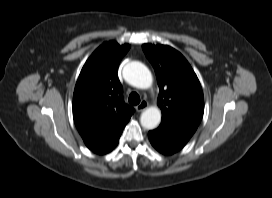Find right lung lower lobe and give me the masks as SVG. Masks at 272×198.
Segmentation results:
<instances>
[{"label": "right lung lower lobe", "mask_w": 272, "mask_h": 198, "mask_svg": "<svg viewBox=\"0 0 272 198\" xmlns=\"http://www.w3.org/2000/svg\"><path fill=\"white\" fill-rule=\"evenodd\" d=\"M125 125L126 124H124L119 130H117V132L114 133L103 145L93 149L92 151L98 154H106L112 151L118 144L119 137Z\"/></svg>", "instance_id": "right-lung-lower-lobe-1"}]
</instances>
